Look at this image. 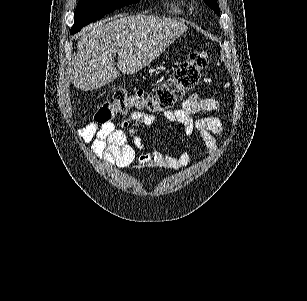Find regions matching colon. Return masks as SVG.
<instances>
[{
  "label": "colon",
  "instance_id": "obj_1",
  "mask_svg": "<svg viewBox=\"0 0 307 301\" xmlns=\"http://www.w3.org/2000/svg\"><path fill=\"white\" fill-rule=\"evenodd\" d=\"M209 62V55L205 50H193L188 58L176 69L174 75L160 85L155 93L138 90L128 93L119 90L112 100L99 105L93 116V121L106 124L114 119L126 116L130 112H161L166 111L201 79L202 71Z\"/></svg>",
  "mask_w": 307,
  "mask_h": 301
}]
</instances>
